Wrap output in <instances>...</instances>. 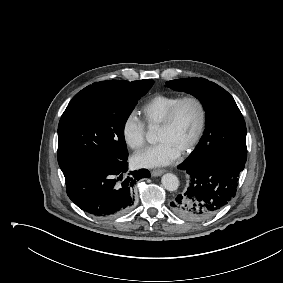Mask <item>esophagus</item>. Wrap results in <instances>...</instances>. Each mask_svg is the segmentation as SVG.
I'll list each match as a JSON object with an SVG mask.
<instances>
[{"mask_svg":"<svg viewBox=\"0 0 283 283\" xmlns=\"http://www.w3.org/2000/svg\"><path fill=\"white\" fill-rule=\"evenodd\" d=\"M165 172V170L163 169H157V170H153L151 171V175L154 177L160 176Z\"/></svg>","mask_w":283,"mask_h":283,"instance_id":"obj_1","label":"esophagus"}]
</instances>
